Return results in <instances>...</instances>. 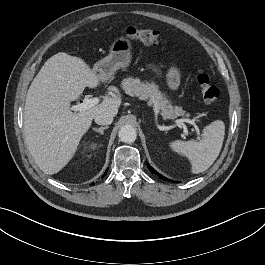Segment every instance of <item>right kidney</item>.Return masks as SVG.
Masks as SVG:
<instances>
[{
  "instance_id": "ca27d5eb",
  "label": "right kidney",
  "mask_w": 265,
  "mask_h": 265,
  "mask_svg": "<svg viewBox=\"0 0 265 265\" xmlns=\"http://www.w3.org/2000/svg\"><path fill=\"white\" fill-rule=\"evenodd\" d=\"M95 147L96 146L94 144H91L90 147H89V149H95Z\"/></svg>"
}]
</instances>
